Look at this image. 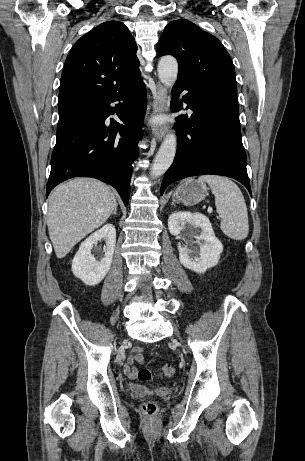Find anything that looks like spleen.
Listing matches in <instances>:
<instances>
[{"instance_id": "spleen-1", "label": "spleen", "mask_w": 305, "mask_h": 461, "mask_svg": "<svg viewBox=\"0 0 305 461\" xmlns=\"http://www.w3.org/2000/svg\"><path fill=\"white\" fill-rule=\"evenodd\" d=\"M199 183H208L215 196L216 210L221 218L222 232L233 240L248 236V212L240 188L230 179L218 175H202Z\"/></svg>"}]
</instances>
